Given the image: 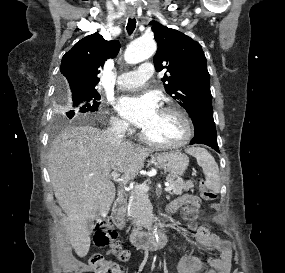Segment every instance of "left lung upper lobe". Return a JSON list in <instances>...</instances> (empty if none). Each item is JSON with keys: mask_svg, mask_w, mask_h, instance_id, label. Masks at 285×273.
<instances>
[{"mask_svg": "<svg viewBox=\"0 0 285 273\" xmlns=\"http://www.w3.org/2000/svg\"><path fill=\"white\" fill-rule=\"evenodd\" d=\"M153 24L158 44L154 65L159 72L167 69L162 81L166 92L183 106L192 117L195 113L212 111V95L207 60L201 45L187 35Z\"/></svg>", "mask_w": 285, "mask_h": 273, "instance_id": "left-lung-upper-lobe-1", "label": "left lung upper lobe"}]
</instances>
